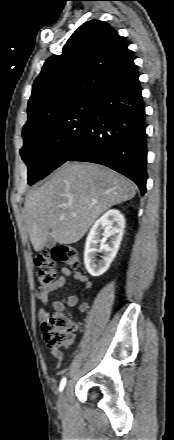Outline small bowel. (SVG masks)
Masks as SVG:
<instances>
[{"mask_svg":"<svg viewBox=\"0 0 174 440\" xmlns=\"http://www.w3.org/2000/svg\"><path fill=\"white\" fill-rule=\"evenodd\" d=\"M61 273L62 275L58 277L50 286H40L36 290V297L41 303V307L39 308L38 312V317L41 322H44L49 317V305H51L52 309L56 312H65L78 304V297L73 294L61 299L51 300V294L64 287L69 277H73L85 289L91 287L90 280L79 271L72 270L68 267H62ZM88 308L89 304L87 302H82L78 306L80 312H86ZM52 354L58 360L63 358V353L61 351L53 350Z\"/></svg>","mask_w":174,"mask_h":440,"instance_id":"1","label":"small bowel"}]
</instances>
